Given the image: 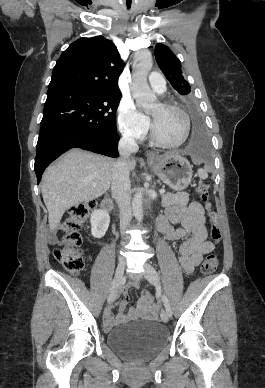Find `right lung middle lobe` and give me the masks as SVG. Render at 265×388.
<instances>
[{
  "mask_svg": "<svg viewBox=\"0 0 265 388\" xmlns=\"http://www.w3.org/2000/svg\"><path fill=\"white\" fill-rule=\"evenodd\" d=\"M119 89L64 91L47 94L40 133L60 126H77L103 134H116Z\"/></svg>",
  "mask_w": 265,
  "mask_h": 388,
  "instance_id": "dd1d6c3e",
  "label": "right lung middle lobe"
}]
</instances>
